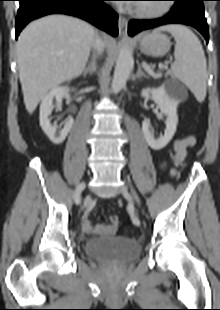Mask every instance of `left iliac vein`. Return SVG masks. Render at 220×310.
I'll list each match as a JSON object with an SVG mask.
<instances>
[{"mask_svg":"<svg viewBox=\"0 0 220 310\" xmlns=\"http://www.w3.org/2000/svg\"><path fill=\"white\" fill-rule=\"evenodd\" d=\"M130 191H131V195L133 197V199L138 203L140 204V199L136 193V191L130 186Z\"/></svg>","mask_w":220,"mask_h":310,"instance_id":"left-iliac-vein-1","label":"left iliac vein"}]
</instances>
